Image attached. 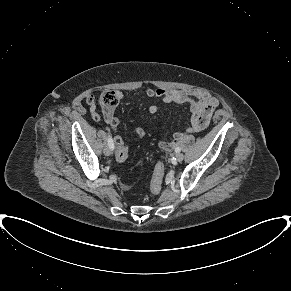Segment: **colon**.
Wrapping results in <instances>:
<instances>
[{
  "label": "colon",
  "instance_id": "5ec220e1",
  "mask_svg": "<svg viewBox=\"0 0 291 291\" xmlns=\"http://www.w3.org/2000/svg\"><path fill=\"white\" fill-rule=\"evenodd\" d=\"M99 102L104 110H111L117 106L119 102V96L117 92L108 90L101 94ZM129 154H130L129 147L127 145H124L117 149L115 157L117 161L124 162L125 160L128 159ZM164 172H165L164 163L158 162L155 166L150 184V191L153 194H157L160 192L163 183Z\"/></svg>",
  "mask_w": 291,
  "mask_h": 291
}]
</instances>
